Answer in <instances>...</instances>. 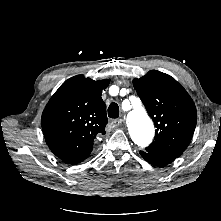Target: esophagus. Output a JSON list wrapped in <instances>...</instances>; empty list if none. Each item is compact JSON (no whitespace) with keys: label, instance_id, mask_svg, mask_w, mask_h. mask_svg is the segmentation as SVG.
I'll use <instances>...</instances> for the list:
<instances>
[{"label":"esophagus","instance_id":"34e87169","mask_svg":"<svg viewBox=\"0 0 221 221\" xmlns=\"http://www.w3.org/2000/svg\"><path fill=\"white\" fill-rule=\"evenodd\" d=\"M121 123H122V119H114L110 121V125L112 127H118L121 125Z\"/></svg>","mask_w":221,"mask_h":221}]
</instances>
